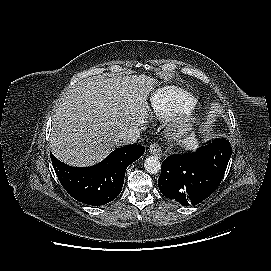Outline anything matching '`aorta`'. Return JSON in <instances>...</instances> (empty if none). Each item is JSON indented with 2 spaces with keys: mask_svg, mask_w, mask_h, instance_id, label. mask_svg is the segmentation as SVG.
I'll return each mask as SVG.
<instances>
[{
  "mask_svg": "<svg viewBox=\"0 0 271 271\" xmlns=\"http://www.w3.org/2000/svg\"><path fill=\"white\" fill-rule=\"evenodd\" d=\"M145 170L150 174H156L161 169V163L158 157L149 156L144 162Z\"/></svg>",
  "mask_w": 271,
  "mask_h": 271,
  "instance_id": "762f6f07",
  "label": "aorta"
}]
</instances>
